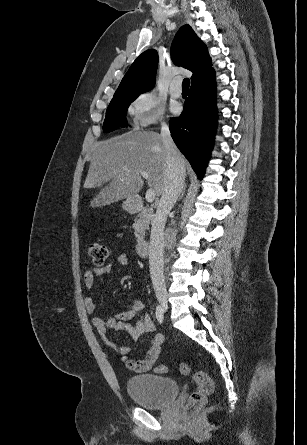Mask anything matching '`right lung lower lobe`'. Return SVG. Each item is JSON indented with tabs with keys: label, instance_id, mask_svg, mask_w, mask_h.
Listing matches in <instances>:
<instances>
[{
	"label": "right lung lower lobe",
	"instance_id": "98d812e1",
	"mask_svg": "<svg viewBox=\"0 0 307 445\" xmlns=\"http://www.w3.org/2000/svg\"><path fill=\"white\" fill-rule=\"evenodd\" d=\"M215 95V72L210 69L191 83L182 114L169 122L177 147L199 179H202L210 158L217 125Z\"/></svg>",
	"mask_w": 307,
	"mask_h": 445
}]
</instances>
